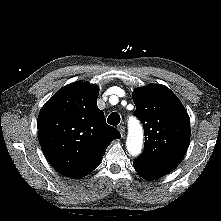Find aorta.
<instances>
[{
  "label": "aorta",
  "mask_w": 221,
  "mask_h": 221,
  "mask_svg": "<svg viewBox=\"0 0 221 221\" xmlns=\"http://www.w3.org/2000/svg\"><path fill=\"white\" fill-rule=\"evenodd\" d=\"M143 145V130L138 120H129V133L126 141L128 152L132 156H137L141 153Z\"/></svg>",
  "instance_id": "1"
}]
</instances>
